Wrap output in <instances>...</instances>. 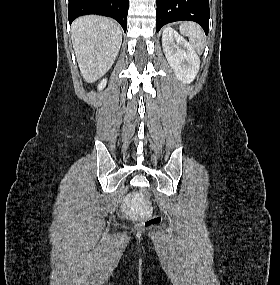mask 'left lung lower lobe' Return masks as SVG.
<instances>
[{
  "label": "left lung lower lobe",
  "instance_id": "obj_1",
  "mask_svg": "<svg viewBox=\"0 0 280 285\" xmlns=\"http://www.w3.org/2000/svg\"><path fill=\"white\" fill-rule=\"evenodd\" d=\"M157 32L167 23L190 20L199 23L206 35L209 28V0H156Z\"/></svg>",
  "mask_w": 280,
  "mask_h": 285
}]
</instances>
